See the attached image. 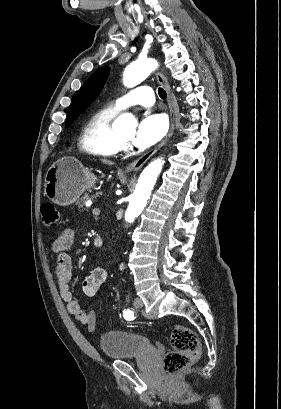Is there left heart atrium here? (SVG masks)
<instances>
[{"label":"left heart atrium","mask_w":281,"mask_h":409,"mask_svg":"<svg viewBox=\"0 0 281 409\" xmlns=\"http://www.w3.org/2000/svg\"><path fill=\"white\" fill-rule=\"evenodd\" d=\"M167 121L162 114L147 115L138 125L132 144L148 148L159 142L167 131Z\"/></svg>","instance_id":"39dd6f15"}]
</instances>
